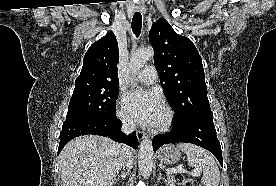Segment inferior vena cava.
Masks as SVG:
<instances>
[{"instance_id": "inferior-vena-cava-1", "label": "inferior vena cava", "mask_w": 276, "mask_h": 186, "mask_svg": "<svg viewBox=\"0 0 276 186\" xmlns=\"http://www.w3.org/2000/svg\"><path fill=\"white\" fill-rule=\"evenodd\" d=\"M121 130L126 135H129L135 130V123L133 121H123ZM121 148L124 155L123 166H126L127 169H130L133 163L132 158L130 156L131 149L126 145H122Z\"/></svg>"}]
</instances>
